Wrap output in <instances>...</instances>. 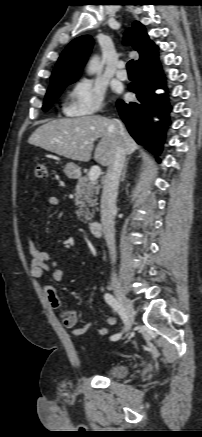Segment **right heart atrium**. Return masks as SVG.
<instances>
[{"mask_svg": "<svg viewBox=\"0 0 202 437\" xmlns=\"http://www.w3.org/2000/svg\"><path fill=\"white\" fill-rule=\"evenodd\" d=\"M105 88L99 83L82 79L74 84L66 101V112L73 116H91L102 111Z\"/></svg>", "mask_w": 202, "mask_h": 437, "instance_id": "1", "label": "right heart atrium"}]
</instances>
